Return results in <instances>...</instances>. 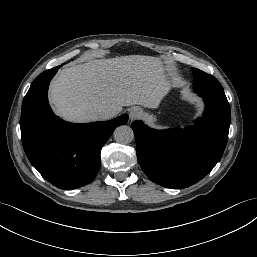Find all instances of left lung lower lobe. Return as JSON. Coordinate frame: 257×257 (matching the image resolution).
Instances as JSON below:
<instances>
[{
	"mask_svg": "<svg viewBox=\"0 0 257 257\" xmlns=\"http://www.w3.org/2000/svg\"><path fill=\"white\" fill-rule=\"evenodd\" d=\"M205 101L204 117L180 130H155L142 121L131 125L140 166L155 183L181 189L206 176L223 155L230 106L225 93L196 92Z\"/></svg>",
	"mask_w": 257,
	"mask_h": 257,
	"instance_id": "1",
	"label": "left lung lower lobe"
}]
</instances>
